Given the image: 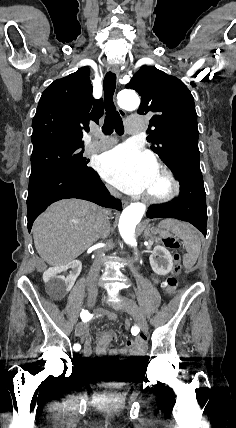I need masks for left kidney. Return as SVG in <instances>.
Returning a JSON list of instances; mask_svg holds the SVG:
<instances>
[{"mask_svg": "<svg viewBox=\"0 0 236 428\" xmlns=\"http://www.w3.org/2000/svg\"><path fill=\"white\" fill-rule=\"evenodd\" d=\"M149 262L153 272L158 276H166L173 268V258L164 246H155Z\"/></svg>", "mask_w": 236, "mask_h": 428, "instance_id": "obj_1", "label": "left kidney"}]
</instances>
